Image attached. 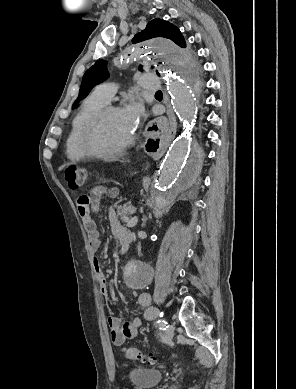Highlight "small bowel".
I'll list each match as a JSON object with an SVG mask.
<instances>
[{
	"label": "small bowel",
	"mask_w": 296,
	"mask_h": 389,
	"mask_svg": "<svg viewBox=\"0 0 296 389\" xmlns=\"http://www.w3.org/2000/svg\"><path fill=\"white\" fill-rule=\"evenodd\" d=\"M118 194L116 188L107 189L103 186H97L89 193L78 198L77 207L78 212L87 231L90 248L93 252H97L101 247L99 232L94 220V214L97 213L100 201L103 197L114 198ZM109 223L113 235L119 240L123 237H132L129 230L123 227L115 213L114 209L109 212ZM94 268L97 278L100 283V291L105 299L109 298V290L107 286L106 277L102 271L101 263L98 258H94ZM139 305L144 308V319L150 320L154 316V308L152 306V299L148 293H141L138 296ZM107 323L110 329V338L114 345L121 346L127 339H132L137 335L141 320L135 318L131 321L122 323L121 319L116 316H109Z\"/></svg>",
	"instance_id": "obj_1"
}]
</instances>
